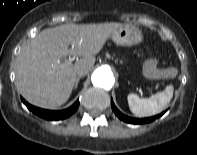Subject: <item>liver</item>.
I'll return each instance as SVG.
<instances>
[{
  "instance_id": "liver-1",
  "label": "liver",
  "mask_w": 197,
  "mask_h": 155,
  "mask_svg": "<svg viewBox=\"0 0 197 155\" xmlns=\"http://www.w3.org/2000/svg\"><path fill=\"white\" fill-rule=\"evenodd\" d=\"M121 26L120 23L66 24L41 31L18 55L15 70L18 91L37 107L61 106L72 93L78 70H92L95 55ZM67 55L82 58L75 64L61 63L60 59Z\"/></svg>"
}]
</instances>
